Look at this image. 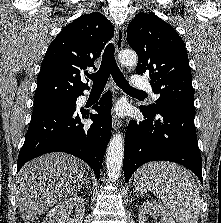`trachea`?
Listing matches in <instances>:
<instances>
[{
	"label": "trachea",
	"instance_id": "1",
	"mask_svg": "<svg viewBox=\"0 0 221 223\" xmlns=\"http://www.w3.org/2000/svg\"><path fill=\"white\" fill-rule=\"evenodd\" d=\"M114 52V44L109 43L103 53L99 70L89 76V78L93 81V88H104L109 76L112 75L115 83L125 92L146 95L145 92L137 90L130 86V84L120 71L119 67L117 66Z\"/></svg>",
	"mask_w": 221,
	"mask_h": 223
}]
</instances>
